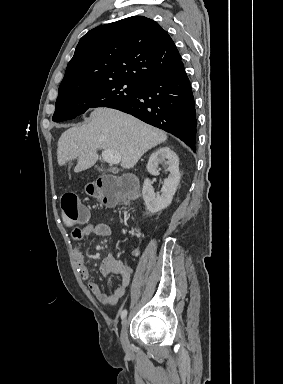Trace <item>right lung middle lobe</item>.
Listing matches in <instances>:
<instances>
[{"mask_svg": "<svg viewBox=\"0 0 283 384\" xmlns=\"http://www.w3.org/2000/svg\"><path fill=\"white\" fill-rule=\"evenodd\" d=\"M140 84L128 80H110L92 84L60 87L53 121L73 119L90 107H112L134 99Z\"/></svg>", "mask_w": 283, "mask_h": 384, "instance_id": "1", "label": "right lung middle lobe"}]
</instances>
